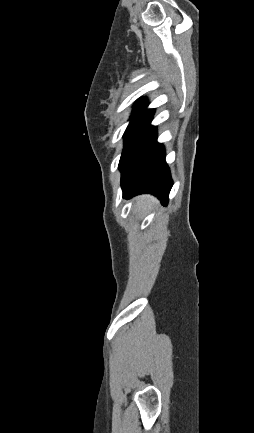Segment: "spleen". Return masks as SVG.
<instances>
[{"mask_svg": "<svg viewBox=\"0 0 254 433\" xmlns=\"http://www.w3.org/2000/svg\"><path fill=\"white\" fill-rule=\"evenodd\" d=\"M157 205L156 199L150 196H142L136 200V212L142 217L146 216Z\"/></svg>", "mask_w": 254, "mask_h": 433, "instance_id": "spleen-1", "label": "spleen"}]
</instances>
